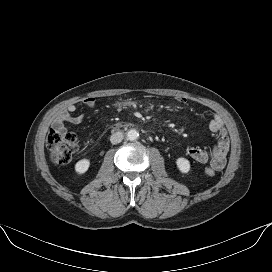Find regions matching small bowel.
I'll return each instance as SVG.
<instances>
[{
  "mask_svg": "<svg viewBox=\"0 0 272 272\" xmlns=\"http://www.w3.org/2000/svg\"><path fill=\"white\" fill-rule=\"evenodd\" d=\"M179 103H186L187 99L183 96L176 98ZM95 98L88 97L84 100V104L88 108H92L95 105ZM76 106L71 104L62 110L53 121V128L61 133H66L67 129L65 123H80L84 120V115H74ZM208 129L218 136L217 144L210 150H206L200 147L190 146L186 152L194 161L205 164L210 163V166L216 170H222L226 165V156L230 147V139L224 123L220 116H213L207 123Z\"/></svg>",
  "mask_w": 272,
  "mask_h": 272,
  "instance_id": "1",
  "label": "small bowel"
}]
</instances>
